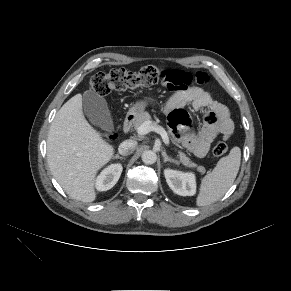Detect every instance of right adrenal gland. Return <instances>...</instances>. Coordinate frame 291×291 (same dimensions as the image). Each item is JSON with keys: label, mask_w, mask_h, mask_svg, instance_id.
I'll return each mask as SVG.
<instances>
[{"label": "right adrenal gland", "mask_w": 291, "mask_h": 291, "mask_svg": "<svg viewBox=\"0 0 291 291\" xmlns=\"http://www.w3.org/2000/svg\"><path fill=\"white\" fill-rule=\"evenodd\" d=\"M115 159H125V157H121L118 154L114 156Z\"/></svg>", "instance_id": "obj_1"}]
</instances>
